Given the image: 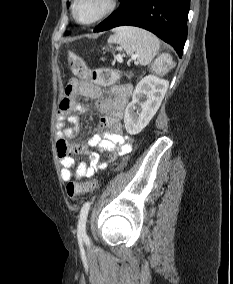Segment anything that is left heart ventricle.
<instances>
[{
  "mask_svg": "<svg viewBox=\"0 0 233 284\" xmlns=\"http://www.w3.org/2000/svg\"><path fill=\"white\" fill-rule=\"evenodd\" d=\"M107 0H80L76 13L79 19L88 21L99 15L106 6Z\"/></svg>",
  "mask_w": 233,
  "mask_h": 284,
  "instance_id": "left-heart-ventricle-1",
  "label": "left heart ventricle"
}]
</instances>
